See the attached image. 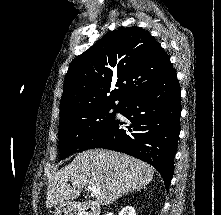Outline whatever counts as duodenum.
<instances>
[{
    "label": "duodenum",
    "instance_id": "obj_1",
    "mask_svg": "<svg viewBox=\"0 0 221 215\" xmlns=\"http://www.w3.org/2000/svg\"><path fill=\"white\" fill-rule=\"evenodd\" d=\"M81 215H99V208L95 204H88L83 208Z\"/></svg>",
    "mask_w": 221,
    "mask_h": 215
}]
</instances>
